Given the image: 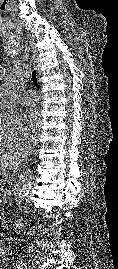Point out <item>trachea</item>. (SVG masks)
<instances>
[{
  "mask_svg": "<svg viewBox=\"0 0 118 269\" xmlns=\"http://www.w3.org/2000/svg\"><path fill=\"white\" fill-rule=\"evenodd\" d=\"M32 81H33L34 86L39 89V84H38L37 75H36L35 70L32 72Z\"/></svg>",
  "mask_w": 118,
  "mask_h": 269,
  "instance_id": "obj_1",
  "label": "trachea"
}]
</instances>
